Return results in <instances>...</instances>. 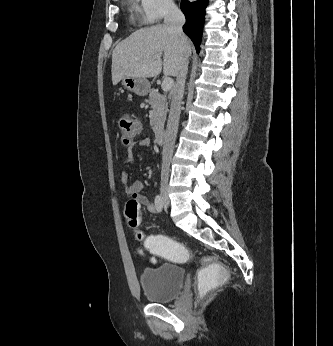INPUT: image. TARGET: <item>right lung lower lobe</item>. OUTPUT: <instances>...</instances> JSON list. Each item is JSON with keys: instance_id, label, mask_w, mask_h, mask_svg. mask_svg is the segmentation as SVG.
<instances>
[{"instance_id": "98d812e1", "label": "right lung lower lobe", "mask_w": 333, "mask_h": 346, "mask_svg": "<svg viewBox=\"0 0 333 346\" xmlns=\"http://www.w3.org/2000/svg\"><path fill=\"white\" fill-rule=\"evenodd\" d=\"M208 5V0H198L190 2L182 0L181 10L186 17V23L183 26V31L192 40L196 51L200 50L201 30L204 23L205 8Z\"/></svg>"}]
</instances>
